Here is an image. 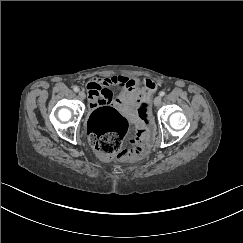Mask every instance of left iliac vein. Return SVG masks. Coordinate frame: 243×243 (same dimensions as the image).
Here are the masks:
<instances>
[{
    "mask_svg": "<svg viewBox=\"0 0 243 243\" xmlns=\"http://www.w3.org/2000/svg\"><path fill=\"white\" fill-rule=\"evenodd\" d=\"M161 96L159 95V96H157V97H155V99H154V105L155 106H159L160 104H161Z\"/></svg>",
    "mask_w": 243,
    "mask_h": 243,
    "instance_id": "obj_1",
    "label": "left iliac vein"
}]
</instances>
